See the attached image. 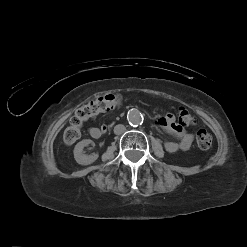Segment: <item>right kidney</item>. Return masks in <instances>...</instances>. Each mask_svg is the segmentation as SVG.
Masks as SVG:
<instances>
[{
	"mask_svg": "<svg viewBox=\"0 0 247 247\" xmlns=\"http://www.w3.org/2000/svg\"><path fill=\"white\" fill-rule=\"evenodd\" d=\"M90 143H92V140L84 139L75 145L74 158L78 164L89 165L97 160L98 154L85 155L83 153V148L88 146Z\"/></svg>",
	"mask_w": 247,
	"mask_h": 247,
	"instance_id": "right-kidney-1",
	"label": "right kidney"
}]
</instances>
